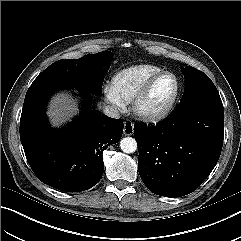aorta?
<instances>
[{"mask_svg":"<svg viewBox=\"0 0 241 241\" xmlns=\"http://www.w3.org/2000/svg\"><path fill=\"white\" fill-rule=\"evenodd\" d=\"M120 148L124 153H133L137 150V142L132 137H125L120 141Z\"/></svg>","mask_w":241,"mask_h":241,"instance_id":"1","label":"aorta"}]
</instances>
